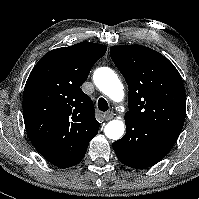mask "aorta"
Returning <instances> with one entry per match:
<instances>
[{"instance_id": "762f6f07", "label": "aorta", "mask_w": 199, "mask_h": 199, "mask_svg": "<svg viewBox=\"0 0 199 199\" xmlns=\"http://www.w3.org/2000/svg\"><path fill=\"white\" fill-rule=\"evenodd\" d=\"M94 82L99 90L113 101L119 102L123 99V85L112 69L107 67L97 69L94 74ZM124 130L123 121L112 120L105 126L104 133L107 138L118 140L123 136Z\"/></svg>"}]
</instances>
